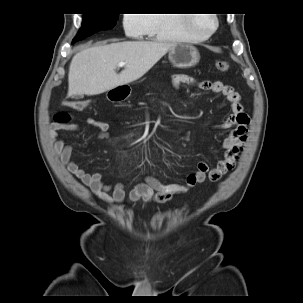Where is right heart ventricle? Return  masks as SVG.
Here are the masks:
<instances>
[{
    "label": "right heart ventricle",
    "mask_w": 303,
    "mask_h": 303,
    "mask_svg": "<svg viewBox=\"0 0 303 303\" xmlns=\"http://www.w3.org/2000/svg\"><path fill=\"white\" fill-rule=\"evenodd\" d=\"M145 35L167 41H182L193 37L185 14H149Z\"/></svg>",
    "instance_id": "1"
}]
</instances>
